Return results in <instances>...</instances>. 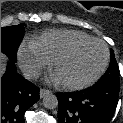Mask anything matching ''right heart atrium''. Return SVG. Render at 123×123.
I'll list each match as a JSON object with an SVG mask.
<instances>
[{"instance_id":"obj_1","label":"right heart atrium","mask_w":123,"mask_h":123,"mask_svg":"<svg viewBox=\"0 0 123 123\" xmlns=\"http://www.w3.org/2000/svg\"><path fill=\"white\" fill-rule=\"evenodd\" d=\"M18 61L22 71L30 79L37 78L50 65V61L30 45L20 47Z\"/></svg>"}]
</instances>
